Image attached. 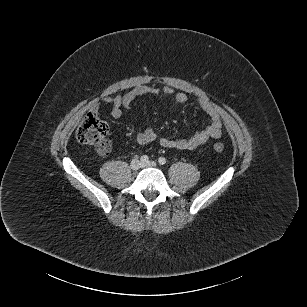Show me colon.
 <instances>
[{
    "mask_svg": "<svg viewBox=\"0 0 307 307\" xmlns=\"http://www.w3.org/2000/svg\"><path fill=\"white\" fill-rule=\"evenodd\" d=\"M107 135V125L98 118L94 111L86 114L77 129V139L82 144L93 146L101 155H106L111 151V142ZM214 150L221 153L224 146L221 143H215Z\"/></svg>",
    "mask_w": 307,
    "mask_h": 307,
    "instance_id": "obj_1",
    "label": "colon"
}]
</instances>
